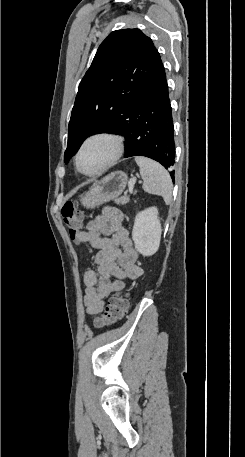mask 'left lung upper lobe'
Wrapping results in <instances>:
<instances>
[{"instance_id":"1","label":"left lung upper lobe","mask_w":245,"mask_h":457,"mask_svg":"<svg viewBox=\"0 0 245 457\" xmlns=\"http://www.w3.org/2000/svg\"><path fill=\"white\" fill-rule=\"evenodd\" d=\"M160 63L159 52L141 30L109 34L79 84L68 127L65 163L88 136L107 133L143 103Z\"/></svg>"}]
</instances>
